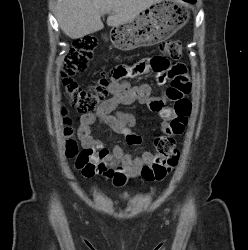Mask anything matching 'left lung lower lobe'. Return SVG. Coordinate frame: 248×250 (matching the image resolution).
I'll return each mask as SVG.
<instances>
[{
	"label": "left lung lower lobe",
	"mask_w": 248,
	"mask_h": 250,
	"mask_svg": "<svg viewBox=\"0 0 248 250\" xmlns=\"http://www.w3.org/2000/svg\"><path fill=\"white\" fill-rule=\"evenodd\" d=\"M184 1L190 2V3H194L195 2V0H184Z\"/></svg>",
	"instance_id": "obj_1"
}]
</instances>
